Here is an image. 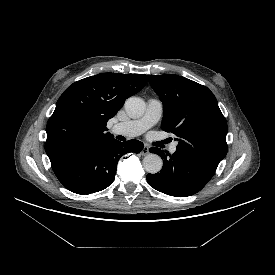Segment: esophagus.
Returning a JSON list of instances; mask_svg holds the SVG:
<instances>
[{"label":"esophagus","mask_w":275,"mask_h":275,"mask_svg":"<svg viewBox=\"0 0 275 275\" xmlns=\"http://www.w3.org/2000/svg\"><path fill=\"white\" fill-rule=\"evenodd\" d=\"M142 155H147L149 154V147L147 145H144L142 151H141Z\"/></svg>","instance_id":"esophagus-1"}]
</instances>
